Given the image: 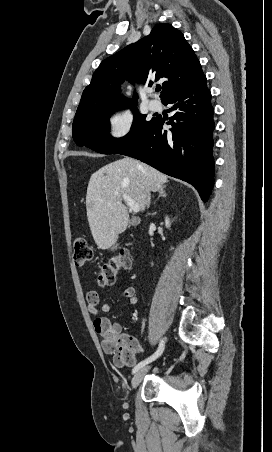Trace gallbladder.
Returning a JSON list of instances; mask_svg holds the SVG:
<instances>
[{"label":"gallbladder","mask_w":272,"mask_h":452,"mask_svg":"<svg viewBox=\"0 0 272 452\" xmlns=\"http://www.w3.org/2000/svg\"><path fill=\"white\" fill-rule=\"evenodd\" d=\"M132 225H135V222H132ZM117 246L118 245H114L112 248H111V250L113 251V250H116L117 249Z\"/></svg>","instance_id":"gallbladder-1"}]
</instances>
